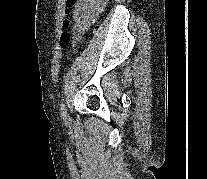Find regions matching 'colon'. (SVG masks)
<instances>
[{
  "instance_id": "obj_1",
  "label": "colon",
  "mask_w": 207,
  "mask_h": 179,
  "mask_svg": "<svg viewBox=\"0 0 207 179\" xmlns=\"http://www.w3.org/2000/svg\"><path fill=\"white\" fill-rule=\"evenodd\" d=\"M79 0H65V13L69 15L73 7L78 4ZM70 22L68 19H65L62 23L63 32L60 35L59 43L62 47H68L72 42V36L68 31Z\"/></svg>"
}]
</instances>
